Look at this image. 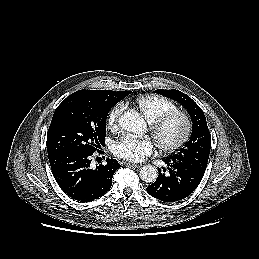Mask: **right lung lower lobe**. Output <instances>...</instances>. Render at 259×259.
Returning a JSON list of instances; mask_svg holds the SVG:
<instances>
[{
  "instance_id": "right-lung-lower-lobe-1",
  "label": "right lung lower lobe",
  "mask_w": 259,
  "mask_h": 259,
  "mask_svg": "<svg viewBox=\"0 0 259 259\" xmlns=\"http://www.w3.org/2000/svg\"><path fill=\"white\" fill-rule=\"evenodd\" d=\"M94 152H64L49 158L52 173L60 188L71 198L89 202L103 196L112 185L114 172L121 166L115 159L90 168Z\"/></svg>"
}]
</instances>
